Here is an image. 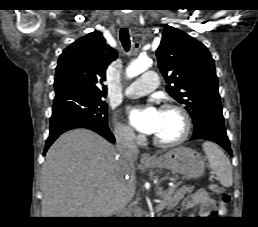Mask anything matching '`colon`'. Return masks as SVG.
Instances as JSON below:
<instances>
[{"instance_id":"colon-1","label":"colon","mask_w":258,"mask_h":227,"mask_svg":"<svg viewBox=\"0 0 258 227\" xmlns=\"http://www.w3.org/2000/svg\"><path fill=\"white\" fill-rule=\"evenodd\" d=\"M211 190L222 197L223 204H228L230 202L231 197L223 187L214 184L211 186Z\"/></svg>"}]
</instances>
